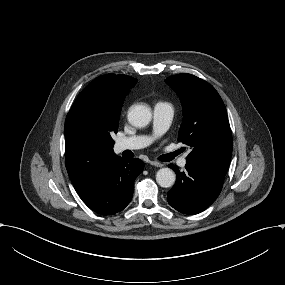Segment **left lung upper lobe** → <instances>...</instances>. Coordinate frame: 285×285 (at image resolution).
Returning <instances> with one entry per match:
<instances>
[{"mask_svg":"<svg viewBox=\"0 0 285 285\" xmlns=\"http://www.w3.org/2000/svg\"><path fill=\"white\" fill-rule=\"evenodd\" d=\"M165 82L178 94L183 122L178 141L190 147L187 164L225 177L233 141L225 105L215 88L191 75L178 74Z\"/></svg>","mask_w":285,"mask_h":285,"instance_id":"left-lung-upper-lobe-1","label":"left lung upper lobe"}]
</instances>
